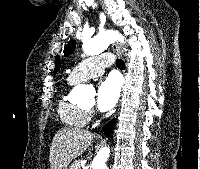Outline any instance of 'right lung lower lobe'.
<instances>
[{"mask_svg": "<svg viewBox=\"0 0 200 169\" xmlns=\"http://www.w3.org/2000/svg\"><path fill=\"white\" fill-rule=\"evenodd\" d=\"M114 125H115V119H113L112 121H110L109 123H107V124L104 126L103 131H104V133H105V135H106L107 137L110 136V134H111V132H112V130H113V128H114Z\"/></svg>", "mask_w": 200, "mask_h": 169, "instance_id": "98d812e1", "label": "right lung lower lobe"}]
</instances>
